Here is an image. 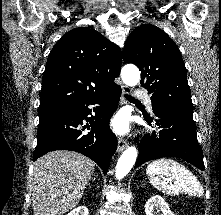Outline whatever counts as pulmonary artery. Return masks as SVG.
<instances>
[{"instance_id": "e3ab8cb5", "label": "pulmonary artery", "mask_w": 221, "mask_h": 215, "mask_svg": "<svg viewBox=\"0 0 221 215\" xmlns=\"http://www.w3.org/2000/svg\"><path fill=\"white\" fill-rule=\"evenodd\" d=\"M136 97L145 99L148 109H149L150 111H152L151 100H150L149 96H148L145 92L140 91V90L137 91V92H136Z\"/></svg>"}]
</instances>
